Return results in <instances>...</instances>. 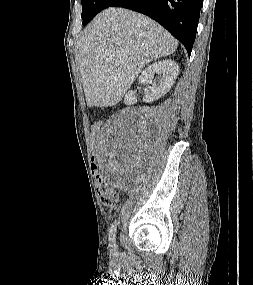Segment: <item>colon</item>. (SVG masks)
I'll list each match as a JSON object with an SVG mask.
<instances>
[{
	"label": "colon",
	"instance_id": "5ec220e1",
	"mask_svg": "<svg viewBox=\"0 0 253 285\" xmlns=\"http://www.w3.org/2000/svg\"><path fill=\"white\" fill-rule=\"evenodd\" d=\"M91 155H98L100 151L99 144V126H91ZM91 172L94 180H97V190L102 203L105 206H112L118 200L117 191L106 181V175H102L99 158H92Z\"/></svg>",
	"mask_w": 253,
	"mask_h": 285
}]
</instances>
